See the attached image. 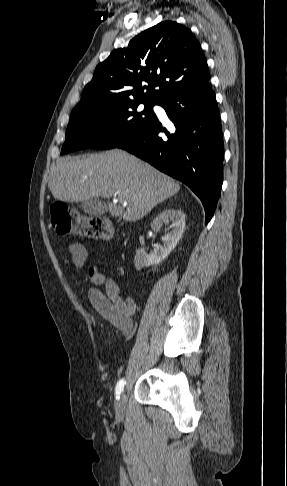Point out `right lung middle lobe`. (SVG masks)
I'll return each instance as SVG.
<instances>
[{"instance_id":"right-lung-middle-lobe-1","label":"right lung middle lobe","mask_w":287,"mask_h":486,"mask_svg":"<svg viewBox=\"0 0 287 486\" xmlns=\"http://www.w3.org/2000/svg\"><path fill=\"white\" fill-rule=\"evenodd\" d=\"M144 104V110L138 109ZM157 102L127 99L103 102L71 112L61 154L93 148L111 149L127 141L154 116Z\"/></svg>"}]
</instances>
